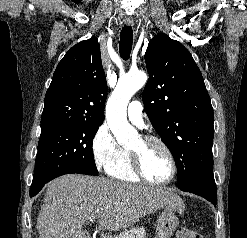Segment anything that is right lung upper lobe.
Returning <instances> with one entry per match:
<instances>
[{"label": "right lung upper lobe", "instance_id": "cb5924a9", "mask_svg": "<svg viewBox=\"0 0 247 238\" xmlns=\"http://www.w3.org/2000/svg\"><path fill=\"white\" fill-rule=\"evenodd\" d=\"M106 96L100 45L92 36L73 46L58 64L45 95L41 128L102 122Z\"/></svg>", "mask_w": 247, "mask_h": 238}]
</instances>
